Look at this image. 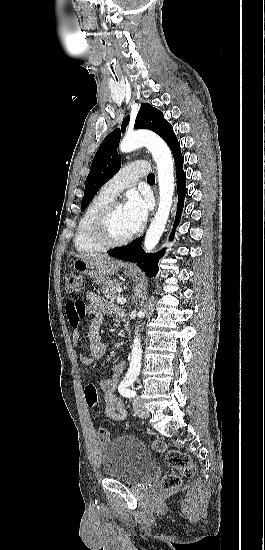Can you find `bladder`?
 Instances as JSON below:
<instances>
[{
	"instance_id": "obj_1",
	"label": "bladder",
	"mask_w": 265,
	"mask_h": 550,
	"mask_svg": "<svg viewBox=\"0 0 265 550\" xmlns=\"http://www.w3.org/2000/svg\"><path fill=\"white\" fill-rule=\"evenodd\" d=\"M101 461L105 476L131 485L147 480L156 468L154 454L132 435L119 436L104 445Z\"/></svg>"
}]
</instances>
